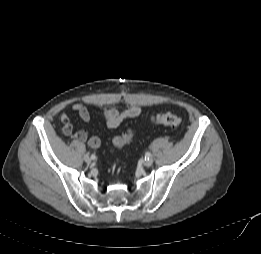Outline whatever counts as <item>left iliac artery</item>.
Returning <instances> with one entry per match:
<instances>
[{
	"mask_svg": "<svg viewBox=\"0 0 261 254\" xmlns=\"http://www.w3.org/2000/svg\"><path fill=\"white\" fill-rule=\"evenodd\" d=\"M145 158L149 160V159L151 158V153L147 152V153L145 154Z\"/></svg>",
	"mask_w": 261,
	"mask_h": 254,
	"instance_id": "left-iliac-artery-1",
	"label": "left iliac artery"
}]
</instances>
